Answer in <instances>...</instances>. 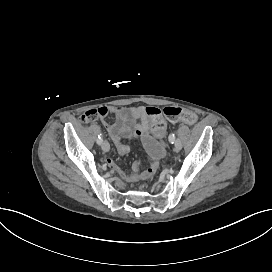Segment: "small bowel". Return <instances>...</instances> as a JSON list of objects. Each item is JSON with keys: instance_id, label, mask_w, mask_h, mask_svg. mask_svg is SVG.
I'll use <instances>...</instances> for the list:
<instances>
[{"instance_id": "obj_1", "label": "small bowel", "mask_w": 272, "mask_h": 272, "mask_svg": "<svg viewBox=\"0 0 272 272\" xmlns=\"http://www.w3.org/2000/svg\"><path fill=\"white\" fill-rule=\"evenodd\" d=\"M111 112L114 114L115 120L112 123L105 122V126L117 151L122 155L127 154L130 148L128 144L122 142V139L130 140L136 138L141 141L146 152L149 154L151 164H157L163 157L164 151L149 131L151 123L145 118L146 108L142 106H116L111 108ZM105 164L109 169L117 172L128 183H135L147 177V170L140 171V163L135 164L131 172H122L111 158H106Z\"/></svg>"}]
</instances>
